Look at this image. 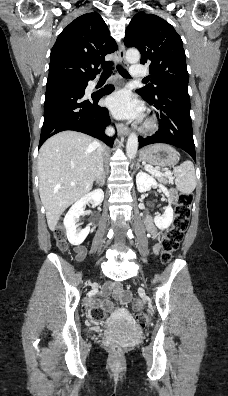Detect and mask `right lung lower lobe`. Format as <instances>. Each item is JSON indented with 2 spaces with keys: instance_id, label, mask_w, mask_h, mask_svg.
Segmentation results:
<instances>
[{
  "instance_id": "1",
  "label": "right lung lower lobe",
  "mask_w": 228,
  "mask_h": 396,
  "mask_svg": "<svg viewBox=\"0 0 228 396\" xmlns=\"http://www.w3.org/2000/svg\"><path fill=\"white\" fill-rule=\"evenodd\" d=\"M87 83H58L47 86L39 147L49 137L64 130L91 135L108 146L113 144L104 133L106 126L110 124L108 110L100 107L98 101L102 96L110 94L114 87L108 85L104 90L88 97L85 95Z\"/></svg>"
}]
</instances>
